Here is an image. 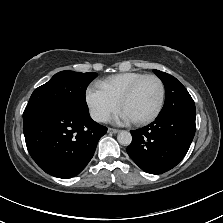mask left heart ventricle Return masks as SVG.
<instances>
[{
    "instance_id": "left-heart-ventricle-1",
    "label": "left heart ventricle",
    "mask_w": 223,
    "mask_h": 223,
    "mask_svg": "<svg viewBox=\"0 0 223 223\" xmlns=\"http://www.w3.org/2000/svg\"><path fill=\"white\" fill-rule=\"evenodd\" d=\"M159 99V85L154 79L144 81L137 91L126 100L123 110L132 120L149 116L156 108Z\"/></svg>"
}]
</instances>
